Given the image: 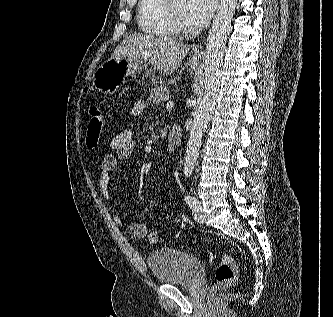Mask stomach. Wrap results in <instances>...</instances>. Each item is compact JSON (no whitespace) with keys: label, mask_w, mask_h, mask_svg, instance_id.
Instances as JSON below:
<instances>
[{"label":"stomach","mask_w":333,"mask_h":317,"mask_svg":"<svg viewBox=\"0 0 333 317\" xmlns=\"http://www.w3.org/2000/svg\"><path fill=\"white\" fill-rule=\"evenodd\" d=\"M192 67H197V63H193ZM143 70L144 66L140 61L108 59L97 68L93 76V85L100 93L113 94L121 87L123 78Z\"/></svg>","instance_id":"0dacf381"}]
</instances>
